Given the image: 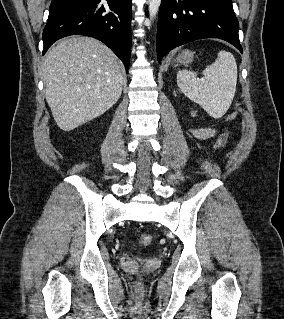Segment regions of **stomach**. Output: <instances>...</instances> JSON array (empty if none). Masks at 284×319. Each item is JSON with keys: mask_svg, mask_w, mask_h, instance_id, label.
<instances>
[{"mask_svg": "<svg viewBox=\"0 0 284 319\" xmlns=\"http://www.w3.org/2000/svg\"><path fill=\"white\" fill-rule=\"evenodd\" d=\"M194 53L189 50H183L178 56L176 57V62L180 64H189L193 61Z\"/></svg>", "mask_w": 284, "mask_h": 319, "instance_id": "obj_1", "label": "stomach"}]
</instances>
